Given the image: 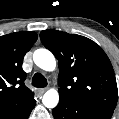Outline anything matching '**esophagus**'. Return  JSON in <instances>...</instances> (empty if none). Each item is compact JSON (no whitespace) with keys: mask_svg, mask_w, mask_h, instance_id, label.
<instances>
[{"mask_svg":"<svg viewBox=\"0 0 119 119\" xmlns=\"http://www.w3.org/2000/svg\"><path fill=\"white\" fill-rule=\"evenodd\" d=\"M45 91H46V88H39V89L37 90V92H38L39 94H43Z\"/></svg>","mask_w":119,"mask_h":119,"instance_id":"34e87169","label":"esophagus"}]
</instances>
